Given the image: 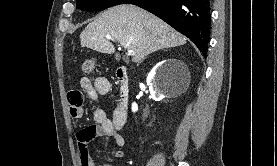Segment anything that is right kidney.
I'll use <instances>...</instances> for the list:
<instances>
[{
  "mask_svg": "<svg viewBox=\"0 0 277 166\" xmlns=\"http://www.w3.org/2000/svg\"><path fill=\"white\" fill-rule=\"evenodd\" d=\"M167 63H173L175 65L183 67V64L176 60H164L160 63H158L153 70L150 72V74L147 77V84L149 86L150 95L151 98L155 101H160L164 98L163 95V86H164V77L161 73L162 69L164 68V65ZM138 106L136 103L132 104V110L137 111Z\"/></svg>",
  "mask_w": 277,
  "mask_h": 166,
  "instance_id": "1",
  "label": "right kidney"
}]
</instances>
